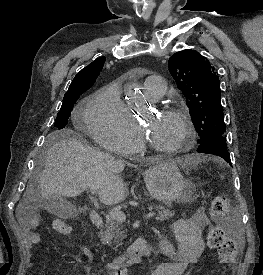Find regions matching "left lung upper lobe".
<instances>
[{
    "mask_svg": "<svg viewBox=\"0 0 263 275\" xmlns=\"http://www.w3.org/2000/svg\"><path fill=\"white\" fill-rule=\"evenodd\" d=\"M169 71L187 99L198 143L226 131L220 81L209 61L194 50L177 52L169 59Z\"/></svg>",
    "mask_w": 263,
    "mask_h": 275,
    "instance_id": "left-lung-upper-lobe-1",
    "label": "left lung upper lobe"
}]
</instances>
